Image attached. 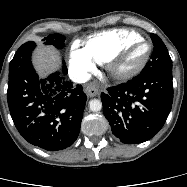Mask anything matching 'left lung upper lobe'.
<instances>
[{
  "instance_id": "left-lung-upper-lobe-1",
  "label": "left lung upper lobe",
  "mask_w": 187,
  "mask_h": 187,
  "mask_svg": "<svg viewBox=\"0 0 187 187\" xmlns=\"http://www.w3.org/2000/svg\"><path fill=\"white\" fill-rule=\"evenodd\" d=\"M151 39L154 44L153 53L151 59L148 61L140 74L172 70V60L161 38L156 34L151 33Z\"/></svg>"
}]
</instances>
